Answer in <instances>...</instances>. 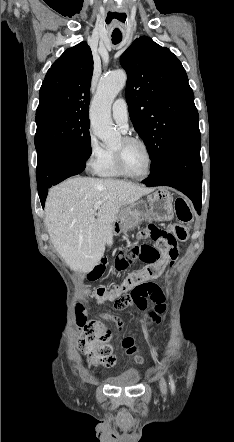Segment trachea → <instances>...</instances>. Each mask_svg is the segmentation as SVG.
<instances>
[{
	"instance_id": "obj_1",
	"label": "trachea",
	"mask_w": 234,
	"mask_h": 442,
	"mask_svg": "<svg viewBox=\"0 0 234 442\" xmlns=\"http://www.w3.org/2000/svg\"><path fill=\"white\" fill-rule=\"evenodd\" d=\"M121 40H122V37H115V36H112V42H113V44H118V43L121 42Z\"/></svg>"
}]
</instances>
